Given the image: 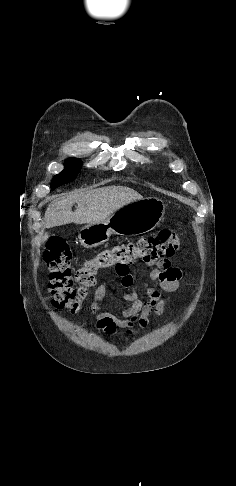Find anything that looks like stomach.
Segmentation results:
<instances>
[{"label":"stomach","instance_id":"1","mask_svg":"<svg viewBox=\"0 0 236 486\" xmlns=\"http://www.w3.org/2000/svg\"><path fill=\"white\" fill-rule=\"evenodd\" d=\"M164 202L156 197L134 200L105 221L85 225L78 239L85 248H93L107 242L112 234L135 235L152 231L163 220Z\"/></svg>","mask_w":236,"mask_h":486}]
</instances>
